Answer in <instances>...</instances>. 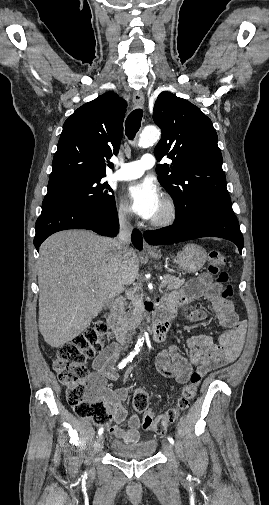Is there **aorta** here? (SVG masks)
Masks as SVG:
<instances>
[{"label":"aorta","mask_w":269,"mask_h":505,"mask_svg":"<svg viewBox=\"0 0 269 505\" xmlns=\"http://www.w3.org/2000/svg\"><path fill=\"white\" fill-rule=\"evenodd\" d=\"M160 137V131L158 128L155 126H148L143 129V131L140 134L139 140H138V145L140 147H146L154 144ZM144 342V338H140L137 341V344L135 346V349L138 351L140 350V347H142Z\"/></svg>","instance_id":"obj_1"}]
</instances>
